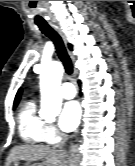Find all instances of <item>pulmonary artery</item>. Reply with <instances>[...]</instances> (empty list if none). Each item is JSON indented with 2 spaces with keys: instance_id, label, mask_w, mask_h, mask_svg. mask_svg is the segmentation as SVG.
Segmentation results:
<instances>
[{
  "instance_id": "1",
  "label": "pulmonary artery",
  "mask_w": 135,
  "mask_h": 166,
  "mask_svg": "<svg viewBox=\"0 0 135 166\" xmlns=\"http://www.w3.org/2000/svg\"><path fill=\"white\" fill-rule=\"evenodd\" d=\"M76 95L75 87L70 82H63L61 86V96L65 99H71Z\"/></svg>"
}]
</instances>
